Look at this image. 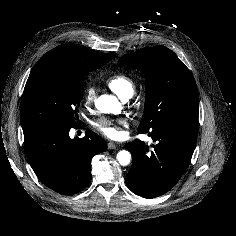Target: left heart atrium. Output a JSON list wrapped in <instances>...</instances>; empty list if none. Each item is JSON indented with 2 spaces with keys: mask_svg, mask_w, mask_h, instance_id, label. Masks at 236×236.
Segmentation results:
<instances>
[{
  "mask_svg": "<svg viewBox=\"0 0 236 236\" xmlns=\"http://www.w3.org/2000/svg\"><path fill=\"white\" fill-rule=\"evenodd\" d=\"M125 122L122 119L112 120L102 118L95 123V127L104 135L111 139L118 138L121 135L120 126Z\"/></svg>",
  "mask_w": 236,
  "mask_h": 236,
  "instance_id": "39dd6f15",
  "label": "left heart atrium"
}]
</instances>
